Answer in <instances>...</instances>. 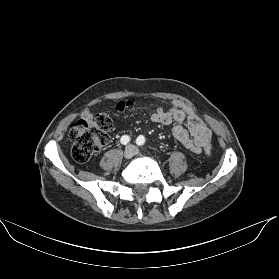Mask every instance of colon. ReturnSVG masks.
<instances>
[{"label":"colon","instance_id":"1","mask_svg":"<svg viewBox=\"0 0 279 279\" xmlns=\"http://www.w3.org/2000/svg\"><path fill=\"white\" fill-rule=\"evenodd\" d=\"M133 102H119L118 111L132 109ZM111 127V118L105 113L97 114L92 118H82L77 121L69 132L72 142V157L78 163L87 162L93 154L101 150L108 142L107 132ZM211 144L206 145L205 153L210 154Z\"/></svg>","mask_w":279,"mask_h":279}]
</instances>
